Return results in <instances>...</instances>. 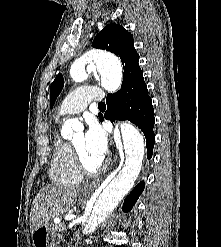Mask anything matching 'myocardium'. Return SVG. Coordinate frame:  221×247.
I'll return each mask as SVG.
<instances>
[{"instance_id": "myocardium-1", "label": "myocardium", "mask_w": 221, "mask_h": 247, "mask_svg": "<svg viewBox=\"0 0 221 247\" xmlns=\"http://www.w3.org/2000/svg\"><path fill=\"white\" fill-rule=\"evenodd\" d=\"M75 163L77 165L78 170L82 175L85 176H94L98 174L102 169L105 168L107 164V160L105 158H102L98 165H96L93 168H90L86 165L85 161L83 160L82 156L78 152L77 148L73 144V142L69 143Z\"/></svg>"}]
</instances>
